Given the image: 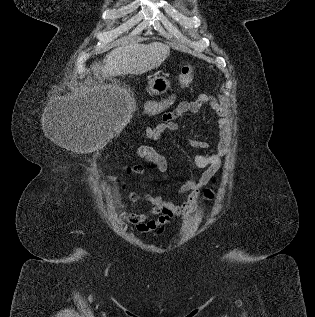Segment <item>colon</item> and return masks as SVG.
<instances>
[{"instance_id":"5ec220e1","label":"colon","mask_w":315,"mask_h":317,"mask_svg":"<svg viewBox=\"0 0 315 317\" xmlns=\"http://www.w3.org/2000/svg\"><path fill=\"white\" fill-rule=\"evenodd\" d=\"M194 75H195V67L194 66L184 67L182 70V73L179 77V88H184V87L188 86L192 82ZM172 100H173V96L168 98V99H165L161 102H158V103L150 106L148 108L147 112L149 114H156V113L160 112L162 109L169 106L170 103L172 102Z\"/></svg>"}]
</instances>
